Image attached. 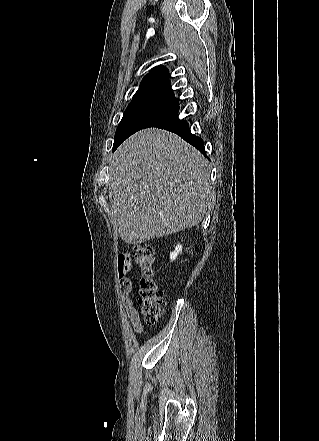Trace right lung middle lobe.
Instances as JSON below:
<instances>
[{
  "mask_svg": "<svg viewBox=\"0 0 319 441\" xmlns=\"http://www.w3.org/2000/svg\"><path fill=\"white\" fill-rule=\"evenodd\" d=\"M176 104L155 99H134L128 105L119 123L114 139L113 151L130 135L144 129L155 118Z\"/></svg>",
  "mask_w": 319,
  "mask_h": 441,
  "instance_id": "1",
  "label": "right lung middle lobe"
}]
</instances>
